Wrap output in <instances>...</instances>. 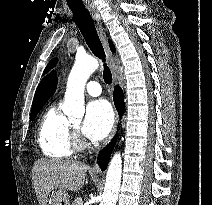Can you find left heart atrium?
Returning a JSON list of instances; mask_svg holds the SVG:
<instances>
[{"label":"left heart atrium","mask_w":212,"mask_h":205,"mask_svg":"<svg viewBox=\"0 0 212 205\" xmlns=\"http://www.w3.org/2000/svg\"><path fill=\"white\" fill-rule=\"evenodd\" d=\"M113 123L114 114L109 103L94 100L87 105L82 131L88 139L98 141L108 135Z\"/></svg>","instance_id":"left-heart-atrium-1"}]
</instances>
